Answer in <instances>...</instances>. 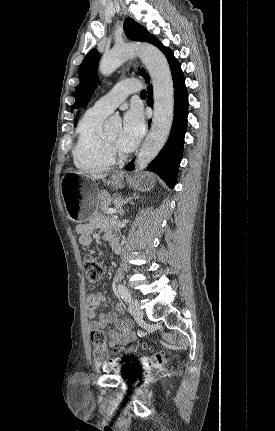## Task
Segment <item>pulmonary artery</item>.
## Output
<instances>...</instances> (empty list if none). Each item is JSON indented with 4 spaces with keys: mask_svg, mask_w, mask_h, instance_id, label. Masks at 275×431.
<instances>
[{
    "mask_svg": "<svg viewBox=\"0 0 275 431\" xmlns=\"http://www.w3.org/2000/svg\"><path fill=\"white\" fill-rule=\"evenodd\" d=\"M140 88L141 85L136 80L128 79L121 81L107 94L98 99L92 108L108 115L113 112L128 95L139 91Z\"/></svg>",
    "mask_w": 275,
    "mask_h": 431,
    "instance_id": "1",
    "label": "pulmonary artery"
}]
</instances>
